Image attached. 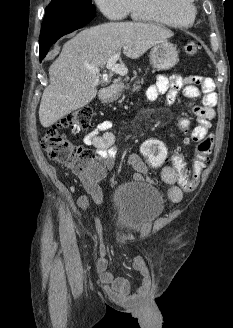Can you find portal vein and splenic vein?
Returning a JSON list of instances; mask_svg holds the SVG:
<instances>
[{
    "label": "portal vein and splenic vein",
    "mask_w": 233,
    "mask_h": 328,
    "mask_svg": "<svg viewBox=\"0 0 233 328\" xmlns=\"http://www.w3.org/2000/svg\"><path fill=\"white\" fill-rule=\"evenodd\" d=\"M120 54H121V52L118 51L112 57H110L109 60L107 61L106 68L119 75H125L128 72L127 68H125L123 65H119L116 63L120 57ZM87 68L93 73L100 72V70L98 68H94V67H90V66H87Z\"/></svg>",
    "instance_id": "18ae733b"
}]
</instances>
